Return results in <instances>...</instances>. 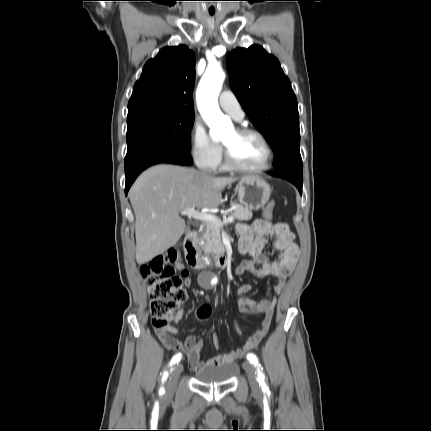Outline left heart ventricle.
Returning a JSON list of instances; mask_svg holds the SVG:
<instances>
[{
	"label": "left heart ventricle",
	"mask_w": 431,
	"mask_h": 431,
	"mask_svg": "<svg viewBox=\"0 0 431 431\" xmlns=\"http://www.w3.org/2000/svg\"><path fill=\"white\" fill-rule=\"evenodd\" d=\"M222 142L229 149L233 159L241 166L255 168L266 161V149L254 135H241L234 129L224 136Z\"/></svg>",
	"instance_id": "obj_1"
}]
</instances>
